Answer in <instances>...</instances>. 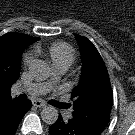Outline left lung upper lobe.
Returning <instances> with one entry per match:
<instances>
[{
    "label": "left lung upper lobe",
    "instance_id": "5c2ea615",
    "mask_svg": "<svg viewBox=\"0 0 135 135\" xmlns=\"http://www.w3.org/2000/svg\"><path fill=\"white\" fill-rule=\"evenodd\" d=\"M80 45L83 70L79 85L71 94L73 117L104 129L109 122L113 93L106 66L96 47L83 36Z\"/></svg>",
    "mask_w": 135,
    "mask_h": 135
}]
</instances>
